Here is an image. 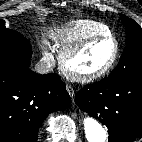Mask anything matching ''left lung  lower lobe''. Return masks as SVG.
Returning <instances> with one entry per match:
<instances>
[{"label": "left lung lower lobe", "mask_w": 142, "mask_h": 142, "mask_svg": "<svg viewBox=\"0 0 142 142\" xmlns=\"http://www.w3.org/2000/svg\"><path fill=\"white\" fill-rule=\"evenodd\" d=\"M75 102L106 125L108 142H131L142 135V73L106 77L86 85Z\"/></svg>", "instance_id": "obj_1"}]
</instances>
